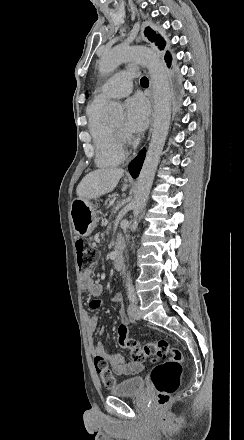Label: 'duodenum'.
Returning <instances> with one entry per match:
<instances>
[{"instance_id":"duodenum-1","label":"duodenum","mask_w":244,"mask_h":440,"mask_svg":"<svg viewBox=\"0 0 244 440\" xmlns=\"http://www.w3.org/2000/svg\"><path fill=\"white\" fill-rule=\"evenodd\" d=\"M123 261H124L123 252H122L121 248H117L115 250V254H114V258H113V267L117 272L122 270Z\"/></svg>"}]
</instances>
